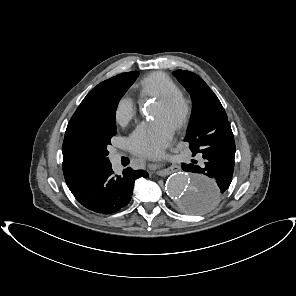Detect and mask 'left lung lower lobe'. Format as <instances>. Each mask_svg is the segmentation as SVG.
<instances>
[{
	"label": "left lung lower lobe",
	"mask_w": 296,
	"mask_h": 296,
	"mask_svg": "<svg viewBox=\"0 0 296 296\" xmlns=\"http://www.w3.org/2000/svg\"><path fill=\"white\" fill-rule=\"evenodd\" d=\"M207 147L202 149L205 165L182 164L186 172L194 173V176H204L214 179L217 190L202 199H194L191 212H201L214 205L230 186L235 157V142L230 124L217 128L206 137ZM203 200V201H202Z\"/></svg>",
	"instance_id": "1"
}]
</instances>
